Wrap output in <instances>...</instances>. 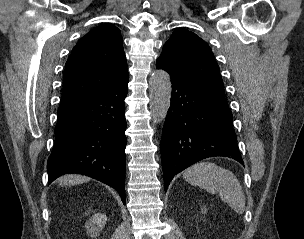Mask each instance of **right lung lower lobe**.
<instances>
[{"label":"right lung lower lobe","instance_id":"1","mask_svg":"<svg viewBox=\"0 0 304 239\" xmlns=\"http://www.w3.org/2000/svg\"><path fill=\"white\" fill-rule=\"evenodd\" d=\"M129 76L72 105L59 108L56 140L48 159V183L83 174L115 188L125 204L124 99Z\"/></svg>","mask_w":304,"mask_h":239}]
</instances>
